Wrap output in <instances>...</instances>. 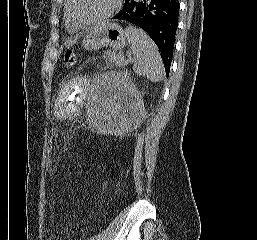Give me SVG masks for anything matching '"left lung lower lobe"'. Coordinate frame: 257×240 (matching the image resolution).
I'll use <instances>...</instances> for the list:
<instances>
[{
  "instance_id": "0a47b994",
  "label": "left lung lower lobe",
  "mask_w": 257,
  "mask_h": 240,
  "mask_svg": "<svg viewBox=\"0 0 257 240\" xmlns=\"http://www.w3.org/2000/svg\"><path fill=\"white\" fill-rule=\"evenodd\" d=\"M178 0H125L113 19L127 21L149 34L158 46L167 77L178 27Z\"/></svg>"
}]
</instances>
